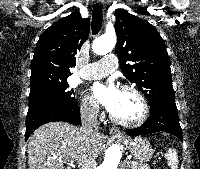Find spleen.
Segmentation results:
<instances>
[{
    "instance_id": "spleen-1",
    "label": "spleen",
    "mask_w": 200,
    "mask_h": 169,
    "mask_svg": "<svg viewBox=\"0 0 200 169\" xmlns=\"http://www.w3.org/2000/svg\"><path fill=\"white\" fill-rule=\"evenodd\" d=\"M165 156L168 161V166L171 169H177L178 168V156H177L176 150L170 148Z\"/></svg>"
}]
</instances>
